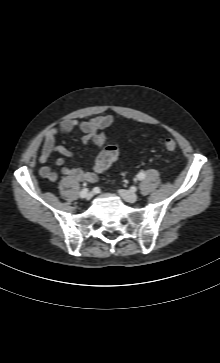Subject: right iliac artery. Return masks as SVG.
<instances>
[{
  "mask_svg": "<svg viewBox=\"0 0 220 363\" xmlns=\"http://www.w3.org/2000/svg\"><path fill=\"white\" fill-rule=\"evenodd\" d=\"M87 192H88V189L87 188L82 189V191L80 192V197L81 198H84L85 195L87 194Z\"/></svg>",
  "mask_w": 220,
  "mask_h": 363,
  "instance_id": "1",
  "label": "right iliac artery"
}]
</instances>
